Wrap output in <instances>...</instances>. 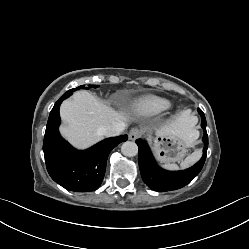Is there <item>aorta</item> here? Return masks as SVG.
Returning <instances> with one entry per match:
<instances>
[{
  "label": "aorta",
  "mask_w": 249,
  "mask_h": 249,
  "mask_svg": "<svg viewBox=\"0 0 249 249\" xmlns=\"http://www.w3.org/2000/svg\"><path fill=\"white\" fill-rule=\"evenodd\" d=\"M121 152L125 156L133 157L138 153V146L134 142L126 141L121 146Z\"/></svg>",
  "instance_id": "762f6f07"
}]
</instances>
